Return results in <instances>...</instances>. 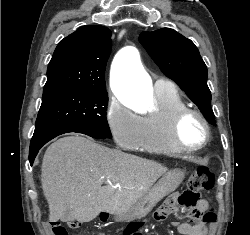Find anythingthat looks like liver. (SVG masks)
Wrapping results in <instances>:
<instances>
[{"label": "liver", "mask_w": 250, "mask_h": 235, "mask_svg": "<svg viewBox=\"0 0 250 235\" xmlns=\"http://www.w3.org/2000/svg\"><path fill=\"white\" fill-rule=\"evenodd\" d=\"M166 172L155 161L78 134L60 138L47 148L41 168L49 220L90 222L100 212L124 214Z\"/></svg>", "instance_id": "6515ba94"}]
</instances>
